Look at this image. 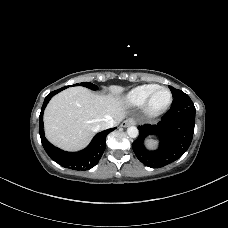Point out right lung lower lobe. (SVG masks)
<instances>
[{"label":"right lung lower lobe","instance_id":"obj_1","mask_svg":"<svg viewBox=\"0 0 228 228\" xmlns=\"http://www.w3.org/2000/svg\"><path fill=\"white\" fill-rule=\"evenodd\" d=\"M63 89H59L49 93L43 103L41 113H40V125H39V133L41 137L42 145L46 151V153L50 156L52 160L57 162L59 165L73 169V170H89L93 166H95L100 158L102 157L105 146H106V136L113 131L115 128L108 129L102 131L95 135L91 143L84 150L79 152H66L55 146H53L44 135L43 129V111L49 102V100L58 92Z\"/></svg>","mask_w":228,"mask_h":228}]
</instances>
